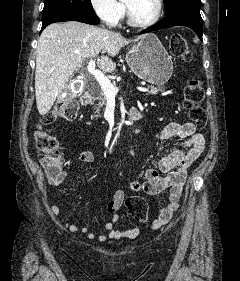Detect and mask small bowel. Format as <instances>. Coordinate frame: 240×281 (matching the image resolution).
Listing matches in <instances>:
<instances>
[{
  "label": "small bowel",
  "mask_w": 240,
  "mask_h": 281,
  "mask_svg": "<svg viewBox=\"0 0 240 281\" xmlns=\"http://www.w3.org/2000/svg\"><path fill=\"white\" fill-rule=\"evenodd\" d=\"M178 137L183 141L168 149L159 159L157 167L149 168L144 172L143 181L131 180L128 186L135 192H142L147 195H158L169 189V203L162 209L157 220L152 227L158 228L168 223L174 213L179 208L183 194V186L187 178V171L194 161L201 155L205 146L204 136L196 131V127L191 122H172L163 128L158 135L160 141H166ZM81 162L92 165L95 157L92 151L82 150L76 154ZM67 178V172L60 168L55 176L47 174L48 183L53 187L60 186ZM125 199V192L119 189L113 198L106 205V212L110 217L104 228L107 235H97L89 231L88 227H80L77 224H70L69 230L72 233L82 232L90 239L105 241L110 239H133L138 236L140 230L137 227L128 229H116L115 223L118 220L117 212L121 208ZM51 210L56 216L60 215L57 206H52Z\"/></svg>",
  "instance_id": "obj_1"
}]
</instances>
